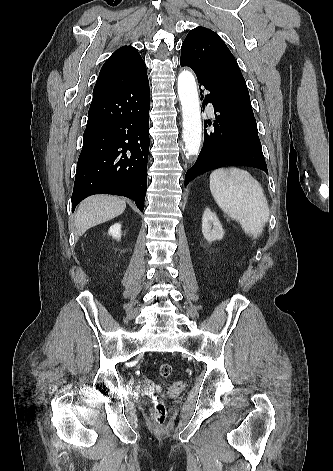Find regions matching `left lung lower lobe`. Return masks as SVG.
I'll list each match as a JSON object with an SVG mask.
<instances>
[{"label": "left lung lower lobe", "instance_id": "left-lung-lower-lobe-1", "mask_svg": "<svg viewBox=\"0 0 333 471\" xmlns=\"http://www.w3.org/2000/svg\"><path fill=\"white\" fill-rule=\"evenodd\" d=\"M180 64L189 66L182 61ZM196 75L200 86L207 90L206 99H203L201 90L203 106L204 103H212L216 120L213 130L204 131L203 147L195 164L187 171L185 183L196 175L232 165L255 167L268 174L257 124L235 109L214 83L202 75Z\"/></svg>", "mask_w": 333, "mask_h": 471}]
</instances>
